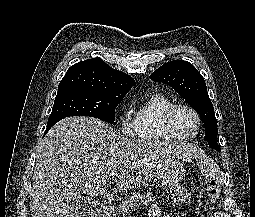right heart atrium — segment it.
I'll return each mask as SVG.
<instances>
[{
	"label": "right heart atrium",
	"instance_id": "d8ad5b80",
	"mask_svg": "<svg viewBox=\"0 0 255 217\" xmlns=\"http://www.w3.org/2000/svg\"><path fill=\"white\" fill-rule=\"evenodd\" d=\"M120 130L125 135L134 134V125L133 122L129 119L128 114L125 113L121 116L120 119Z\"/></svg>",
	"mask_w": 255,
	"mask_h": 217
}]
</instances>
